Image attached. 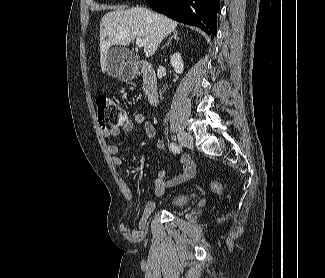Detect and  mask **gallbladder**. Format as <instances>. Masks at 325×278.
<instances>
[{"instance_id":"gallbladder-1","label":"gallbladder","mask_w":325,"mask_h":278,"mask_svg":"<svg viewBox=\"0 0 325 278\" xmlns=\"http://www.w3.org/2000/svg\"><path fill=\"white\" fill-rule=\"evenodd\" d=\"M137 55L124 47H113L107 54V72L111 77H118L125 60L134 61Z\"/></svg>"}]
</instances>
